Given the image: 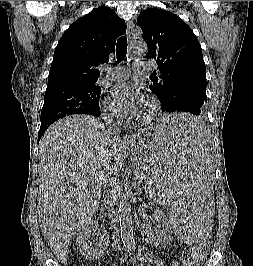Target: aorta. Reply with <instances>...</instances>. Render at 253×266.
Segmentation results:
<instances>
[{
	"instance_id": "aorta-1",
	"label": "aorta",
	"mask_w": 253,
	"mask_h": 266,
	"mask_svg": "<svg viewBox=\"0 0 253 266\" xmlns=\"http://www.w3.org/2000/svg\"><path fill=\"white\" fill-rule=\"evenodd\" d=\"M131 49L133 53L142 55L147 52V45L143 41H136L131 44ZM118 221L121 239L124 245H131L134 243V237L132 230L131 205L128 201L127 193L121 195V201L118 207Z\"/></svg>"
}]
</instances>
